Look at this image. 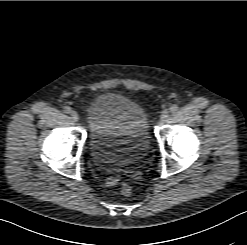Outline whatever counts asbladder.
Instances as JSON below:
<instances>
[{
	"mask_svg": "<svg viewBox=\"0 0 247 245\" xmlns=\"http://www.w3.org/2000/svg\"><path fill=\"white\" fill-rule=\"evenodd\" d=\"M91 157L100 168H119L140 157L150 144L144 109L126 96L105 92L88 105Z\"/></svg>",
	"mask_w": 247,
	"mask_h": 245,
	"instance_id": "31cf9c89",
	"label": "bladder"
}]
</instances>
